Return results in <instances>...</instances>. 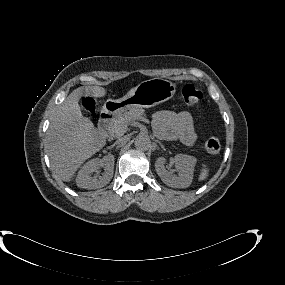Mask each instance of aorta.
<instances>
[{
  "mask_svg": "<svg viewBox=\"0 0 285 285\" xmlns=\"http://www.w3.org/2000/svg\"><path fill=\"white\" fill-rule=\"evenodd\" d=\"M135 147L139 150L146 151L150 148L151 142L146 134H139L134 141Z\"/></svg>",
  "mask_w": 285,
  "mask_h": 285,
  "instance_id": "762f6f07",
  "label": "aorta"
}]
</instances>
